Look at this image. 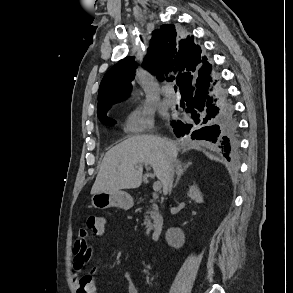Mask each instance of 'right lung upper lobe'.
I'll use <instances>...</instances> for the list:
<instances>
[{"label":"right lung upper lobe","mask_w":293,"mask_h":293,"mask_svg":"<svg viewBox=\"0 0 293 293\" xmlns=\"http://www.w3.org/2000/svg\"><path fill=\"white\" fill-rule=\"evenodd\" d=\"M206 61L205 56L201 58V48L194 44L193 36L179 40L175 26L164 24L153 32L145 66L155 72L159 80H163V74L178 71L177 83L181 91L195 78L199 64ZM136 66L134 57H128L105 74L98 92V117L106 115L112 104L124 99L131 91Z\"/></svg>","instance_id":"1"}]
</instances>
